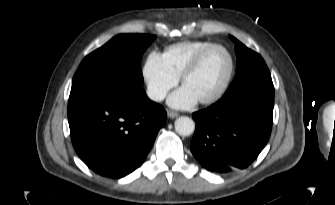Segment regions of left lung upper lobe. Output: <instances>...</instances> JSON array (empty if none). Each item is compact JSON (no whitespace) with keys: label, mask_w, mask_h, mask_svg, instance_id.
Returning a JSON list of instances; mask_svg holds the SVG:
<instances>
[{"label":"left lung upper lobe","mask_w":335,"mask_h":205,"mask_svg":"<svg viewBox=\"0 0 335 205\" xmlns=\"http://www.w3.org/2000/svg\"><path fill=\"white\" fill-rule=\"evenodd\" d=\"M237 54V74L225 95L254 90L274 96V86L271 75L263 58L247 48L233 36Z\"/></svg>","instance_id":"5c2ea615"}]
</instances>
